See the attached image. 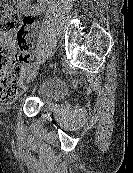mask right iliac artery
<instances>
[{
	"label": "right iliac artery",
	"instance_id": "1",
	"mask_svg": "<svg viewBox=\"0 0 133 173\" xmlns=\"http://www.w3.org/2000/svg\"><path fill=\"white\" fill-rule=\"evenodd\" d=\"M35 64H36L35 62L29 63V64L25 67L24 70H26L27 72H29V71L33 68V66H34Z\"/></svg>",
	"mask_w": 133,
	"mask_h": 173
}]
</instances>
